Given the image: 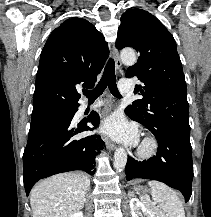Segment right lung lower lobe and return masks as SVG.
<instances>
[{"label": "right lung lower lobe", "instance_id": "98d812e1", "mask_svg": "<svg viewBox=\"0 0 211 217\" xmlns=\"http://www.w3.org/2000/svg\"><path fill=\"white\" fill-rule=\"evenodd\" d=\"M70 118L31 121L27 146L23 154V178L26 194L40 179L73 170L95 173V156L104 142L97 135L75 139L81 132L99 125V115L92 112L79 123L72 121L78 110L72 109ZM87 123L94 126L91 128Z\"/></svg>", "mask_w": 211, "mask_h": 217}]
</instances>
